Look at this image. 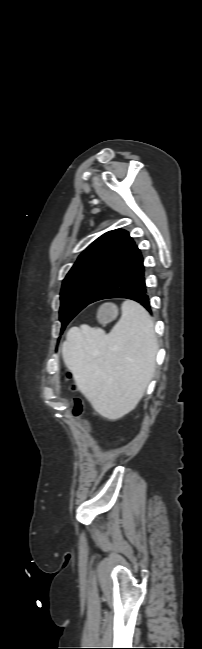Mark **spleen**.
I'll list each match as a JSON object with an SVG mask.
<instances>
[{
	"instance_id": "spleen-1",
	"label": "spleen",
	"mask_w": 202,
	"mask_h": 649,
	"mask_svg": "<svg viewBox=\"0 0 202 649\" xmlns=\"http://www.w3.org/2000/svg\"><path fill=\"white\" fill-rule=\"evenodd\" d=\"M157 338L149 313L135 301L109 334L100 328H72L62 355L78 389L103 417L117 419L135 408L155 368Z\"/></svg>"
}]
</instances>
